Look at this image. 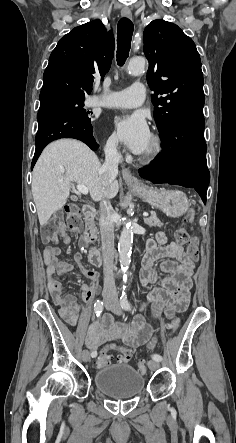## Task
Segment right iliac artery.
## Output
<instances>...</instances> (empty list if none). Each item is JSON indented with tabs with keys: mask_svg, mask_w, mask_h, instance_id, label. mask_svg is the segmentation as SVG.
Wrapping results in <instances>:
<instances>
[{
	"mask_svg": "<svg viewBox=\"0 0 236 443\" xmlns=\"http://www.w3.org/2000/svg\"><path fill=\"white\" fill-rule=\"evenodd\" d=\"M104 308L103 302L100 300H97V302L94 304V310L97 316H100V314L102 313ZM92 357H96L97 353L96 352H92L91 353Z\"/></svg>",
	"mask_w": 236,
	"mask_h": 443,
	"instance_id": "1",
	"label": "right iliac artery"
}]
</instances>
